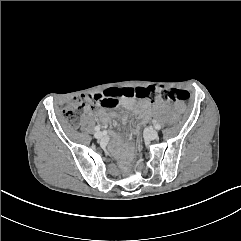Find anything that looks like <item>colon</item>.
Segmentation results:
<instances>
[{
    "label": "colon",
    "instance_id": "5ec220e1",
    "mask_svg": "<svg viewBox=\"0 0 241 241\" xmlns=\"http://www.w3.org/2000/svg\"><path fill=\"white\" fill-rule=\"evenodd\" d=\"M121 97L126 98H142L149 100H164L177 103L185 102L189 99V93L180 89H170L159 86L124 88L119 86L108 88L102 87L98 90L97 94L87 96L80 95L74 97L63 108V116L65 120L71 124L76 125L79 121V113L85 109L94 107L96 105L113 106ZM179 121V115L173 114L169 117L167 125L174 126Z\"/></svg>",
    "mask_w": 241,
    "mask_h": 241
}]
</instances>
